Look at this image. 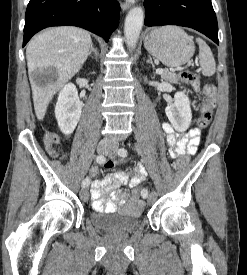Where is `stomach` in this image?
I'll use <instances>...</instances> for the list:
<instances>
[{"instance_id": "stomach-1", "label": "stomach", "mask_w": 247, "mask_h": 275, "mask_svg": "<svg viewBox=\"0 0 247 275\" xmlns=\"http://www.w3.org/2000/svg\"><path fill=\"white\" fill-rule=\"evenodd\" d=\"M144 46L167 67H179L185 64L195 51L192 38L176 26L153 29L146 36Z\"/></svg>"}]
</instances>
